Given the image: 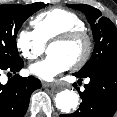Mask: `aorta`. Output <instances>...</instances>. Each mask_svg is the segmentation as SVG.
<instances>
[{"label":"aorta","mask_w":117,"mask_h":117,"mask_svg":"<svg viewBox=\"0 0 117 117\" xmlns=\"http://www.w3.org/2000/svg\"><path fill=\"white\" fill-rule=\"evenodd\" d=\"M79 96L73 90L65 89L57 93L55 97V104L63 113H70L78 106Z\"/></svg>","instance_id":"762f6f07"}]
</instances>
